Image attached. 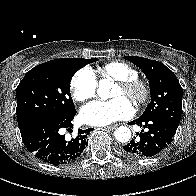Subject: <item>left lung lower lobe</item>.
<instances>
[{
    "label": "left lung lower lobe",
    "instance_id": "left-lung-lower-lobe-1",
    "mask_svg": "<svg viewBox=\"0 0 196 196\" xmlns=\"http://www.w3.org/2000/svg\"><path fill=\"white\" fill-rule=\"evenodd\" d=\"M143 127L137 138L123 146L122 153L136 158L152 157L163 151L172 141L178 125L163 117H139L129 123Z\"/></svg>",
    "mask_w": 196,
    "mask_h": 196
}]
</instances>
